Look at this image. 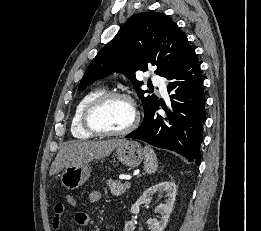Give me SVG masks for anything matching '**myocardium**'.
Segmentation results:
<instances>
[{"label": "myocardium", "mask_w": 261, "mask_h": 231, "mask_svg": "<svg viewBox=\"0 0 261 231\" xmlns=\"http://www.w3.org/2000/svg\"><path fill=\"white\" fill-rule=\"evenodd\" d=\"M114 98H123L128 100L132 104L134 109L133 120L127 128L120 131H107V130L99 129L94 124L93 114L99 107H101L103 104H105L106 102ZM139 122H140V111L134 99L129 94L122 91H109V92L102 93L86 106L82 115V124L84 129L87 132L96 136H125L131 133L133 130H135Z\"/></svg>", "instance_id": "f54148a6"}]
</instances>
